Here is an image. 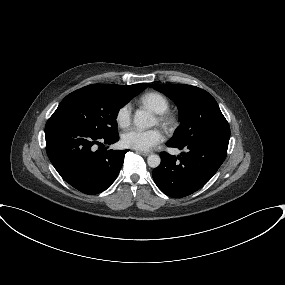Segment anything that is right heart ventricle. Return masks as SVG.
Here are the masks:
<instances>
[{
  "instance_id": "right-heart-ventricle-1",
  "label": "right heart ventricle",
  "mask_w": 285,
  "mask_h": 285,
  "mask_svg": "<svg viewBox=\"0 0 285 285\" xmlns=\"http://www.w3.org/2000/svg\"><path fill=\"white\" fill-rule=\"evenodd\" d=\"M140 102L157 114L167 112L170 108L169 99L159 92H148L141 96Z\"/></svg>"
}]
</instances>
